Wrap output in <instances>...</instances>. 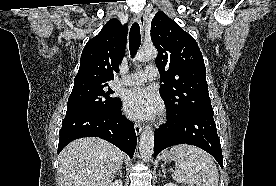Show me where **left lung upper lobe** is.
<instances>
[{"label":"left lung upper lobe","instance_id":"1","mask_svg":"<svg viewBox=\"0 0 276 186\" xmlns=\"http://www.w3.org/2000/svg\"><path fill=\"white\" fill-rule=\"evenodd\" d=\"M151 39L158 50L155 63L164 82L159 92L167 110L176 115L213 110L204 59L195 39L163 11L152 19Z\"/></svg>","mask_w":276,"mask_h":186}]
</instances>
